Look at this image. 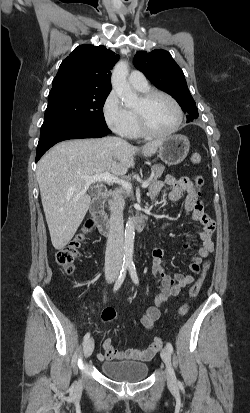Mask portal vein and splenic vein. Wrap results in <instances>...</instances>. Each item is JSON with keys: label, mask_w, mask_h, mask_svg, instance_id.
Masks as SVG:
<instances>
[{"label": "portal vein and splenic vein", "mask_w": 250, "mask_h": 413, "mask_svg": "<svg viewBox=\"0 0 250 413\" xmlns=\"http://www.w3.org/2000/svg\"><path fill=\"white\" fill-rule=\"evenodd\" d=\"M86 185L89 186L90 184H93L95 182H108V183H116L121 185L123 188L127 189V190H131L132 189V185L131 183L120 179L108 172H104L102 174H97L94 176H90V177H84ZM149 180H146L142 183V188H147L149 186Z\"/></svg>", "instance_id": "18ae733b"}]
</instances>
